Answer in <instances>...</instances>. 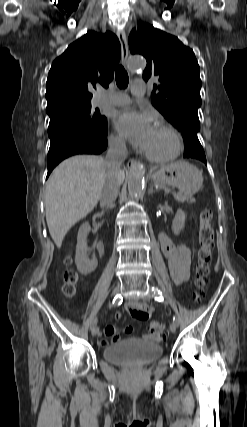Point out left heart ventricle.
I'll return each instance as SVG.
<instances>
[{"mask_svg": "<svg viewBox=\"0 0 247 427\" xmlns=\"http://www.w3.org/2000/svg\"><path fill=\"white\" fill-rule=\"evenodd\" d=\"M173 147V139L170 134L162 128L157 127L145 148L153 154H166Z\"/></svg>", "mask_w": 247, "mask_h": 427, "instance_id": "b2bd125f", "label": "left heart ventricle"}]
</instances>
